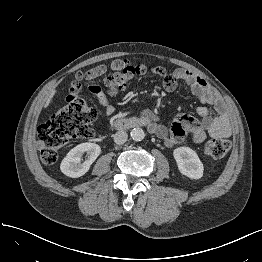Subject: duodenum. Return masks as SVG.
I'll use <instances>...</instances> for the list:
<instances>
[{
    "label": "duodenum",
    "instance_id": "410a0bca",
    "mask_svg": "<svg viewBox=\"0 0 262 262\" xmlns=\"http://www.w3.org/2000/svg\"><path fill=\"white\" fill-rule=\"evenodd\" d=\"M135 127L149 128V125L144 119L128 117L119 118L114 124V128L117 130H127Z\"/></svg>",
    "mask_w": 262,
    "mask_h": 262
}]
</instances>
